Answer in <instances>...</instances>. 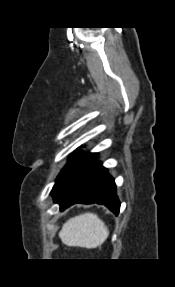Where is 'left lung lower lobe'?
<instances>
[{"mask_svg":"<svg viewBox=\"0 0 175 287\" xmlns=\"http://www.w3.org/2000/svg\"><path fill=\"white\" fill-rule=\"evenodd\" d=\"M55 202L64 210L75 203L102 204L116 215L119 213L120 202L116 195L114 179L101 162L94 161L91 167L80 176Z\"/></svg>","mask_w":175,"mask_h":287,"instance_id":"0a47b994","label":"left lung lower lobe"}]
</instances>
